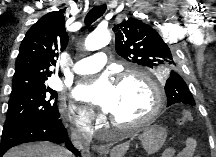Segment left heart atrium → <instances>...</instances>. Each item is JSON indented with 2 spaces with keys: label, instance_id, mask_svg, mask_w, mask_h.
<instances>
[{
  "label": "left heart atrium",
  "instance_id": "1",
  "mask_svg": "<svg viewBox=\"0 0 216 157\" xmlns=\"http://www.w3.org/2000/svg\"><path fill=\"white\" fill-rule=\"evenodd\" d=\"M74 96L111 113L115 105V86L106 76H102L89 84L79 85L74 91Z\"/></svg>",
  "mask_w": 216,
  "mask_h": 157
}]
</instances>
